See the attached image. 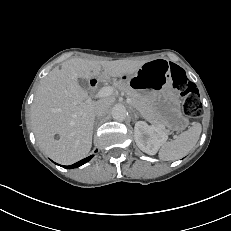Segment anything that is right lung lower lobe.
Here are the masks:
<instances>
[{
    "instance_id": "right-lung-lower-lobe-1",
    "label": "right lung lower lobe",
    "mask_w": 231,
    "mask_h": 231,
    "mask_svg": "<svg viewBox=\"0 0 231 231\" xmlns=\"http://www.w3.org/2000/svg\"><path fill=\"white\" fill-rule=\"evenodd\" d=\"M92 157H93V155H91V156H89L87 158H84V159L80 160L79 162L74 163L73 165L65 166L64 168H68V169L77 168V167L83 165L84 163L88 162L89 160H91Z\"/></svg>"
}]
</instances>
